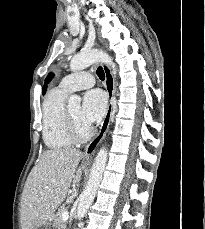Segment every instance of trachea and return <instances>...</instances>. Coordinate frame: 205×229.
<instances>
[{"label": "trachea", "instance_id": "trachea-1", "mask_svg": "<svg viewBox=\"0 0 205 229\" xmlns=\"http://www.w3.org/2000/svg\"><path fill=\"white\" fill-rule=\"evenodd\" d=\"M97 75H98V77L101 79V80H104L105 79V73H104V70H103V68L100 66V67H98V69H97Z\"/></svg>", "mask_w": 205, "mask_h": 229}]
</instances>
